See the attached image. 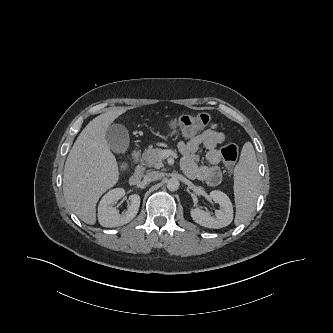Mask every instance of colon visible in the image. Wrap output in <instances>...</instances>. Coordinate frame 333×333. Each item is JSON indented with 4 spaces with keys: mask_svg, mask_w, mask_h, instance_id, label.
I'll list each match as a JSON object with an SVG mask.
<instances>
[{
    "mask_svg": "<svg viewBox=\"0 0 333 333\" xmlns=\"http://www.w3.org/2000/svg\"><path fill=\"white\" fill-rule=\"evenodd\" d=\"M210 121L207 114L183 115L170 122V128L190 136L205 128ZM223 162L228 170H232L238 159V148L233 143L225 144L220 151ZM127 167L126 163L121 164L122 170Z\"/></svg>",
    "mask_w": 333,
    "mask_h": 333,
    "instance_id": "colon-1",
    "label": "colon"
}]
</instances>
